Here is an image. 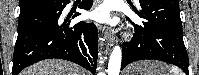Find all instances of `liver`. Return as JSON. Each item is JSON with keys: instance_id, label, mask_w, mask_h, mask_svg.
Here are the masks:
<instances>
[{"instance_id": "obj_1", "label": "liver", "mask_w": 199, "mask_h": 75, "mask_svg": "<svg viewBox=\"0 0 199 75\" xmlns=\"http://www.w3.org/2000/svg\"><path fill=\"white\" fill-rule=\"evenodd\" d=\"M85 70L65 60H43L23 70L20 75H85Z\"/></svg>"}]
</instances>
